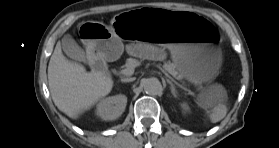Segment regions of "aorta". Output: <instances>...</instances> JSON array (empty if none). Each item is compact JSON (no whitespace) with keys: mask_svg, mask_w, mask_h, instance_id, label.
<instances>
[{"mask_svg":"<svg viewBox=\"0 0 279 148\" xmlns=\"http://www.w3.org/2000/svg\"><path fill=\"white\" fill-rule=\"evenodd\" d=\"M143 88L148 95H158L162 92L163 87L157 78H147L143 82Z\"/></svg>","mask_w":279,"mask_h":148,"instance_id":"762f6f07","label":"aorta"}]
</instances>
